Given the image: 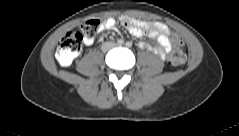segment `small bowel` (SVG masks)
I'll list each match as a JSON object with an SVG mask.
<instances>
[{
	"label": "small bowel",
	"instance_id": "small-bowel-1",
	"mask_svg": "<svg viewBox=\"0 0 239 136\" xmlns=\"http://www.w3.org/2000/svg\"><path fill=\"white\" fill-rule=\"evenodd\" d=\"M120 21L127 31L135 37H142L146 35L151 38H155L158 43L157 47H153L147 43H143L141 46L158 54L161 59L166 58L167 54L171 50V43L169 39L170 31L166 25L159 22L135 20L125 15L120 17ZM112 29H115L114 19H108L100 26V31ZM93 42V38L84 39V44L87 46L92 45Z\"/></svg>",
	"mask_w": 239,
	"mask_h": 136
}]
</instances>
